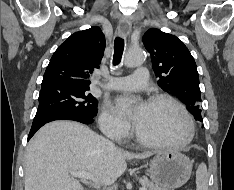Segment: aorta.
<instances>
[{
    "label": "aorta",
    "mask_w": 234,
    "mask_h": 190,
    "mask_svg": "<svg viewBox=\"0 0 234 190\" xmlns=\"http://www.w3.org/2000/svg\"><path fill=\"white\" fill-rule=\"evenodd\" d=\"M145 59V52L141 48L129 49L126 53L124 64L131 68L141 65Z\"/></svg>",
    "instance_id": "aorta-1"
}]
</instances>
